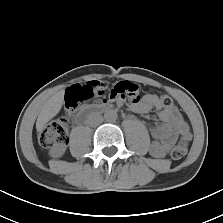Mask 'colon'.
Wrapping results in <instances>:
<instances>
[{
	"label": "colon",
	"mask_w": 223,
	"mask_h": 223,
	"mask_svg": "<svg viewBox=\"0 0 223 223\" xmlns=\"http://www.w3.org/2000/svg\"><path fill=\"white\" fill-rule=\"evenodd\" d=\"M105 84L97 81H90L82 84H75L69 87L65 94V106L68 114L73 113L78 105L106 93ZM139 88L130 81L116 83L109 90V98H138ZM162 107L172 105V99L163 95L159 98ZM67 141V128L64 120L50 122L38 135V142L43 147H52L57 144H64ZM188 139L181 137L171 149V156L180 159L187 153Z\"/></svg>",
	"instance_id": "colon-1"
}]
</instances>
